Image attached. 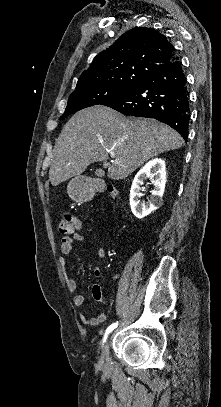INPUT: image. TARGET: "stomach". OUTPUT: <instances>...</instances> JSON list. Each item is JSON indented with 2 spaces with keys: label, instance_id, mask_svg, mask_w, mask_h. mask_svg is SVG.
<instances>
[{
  "label": "stomach",
  "instance_id": "stomach-1",
  "mask_svg": "<svg viewBox=\"0 0 221 407\" xmlns=\"http://www.w3.org/2000/svg\"><path fill=\"white\" fill-rule=\"evenodd\" d=\"M67 192L72 200L76 202H85L91 197L88 186L81 177L73 178L67 187Z\"/></svg>",
  "mask_w": 221,
  "mask_h": 407
}]
</instances>
